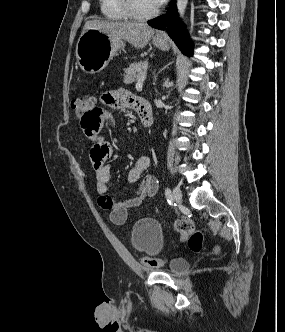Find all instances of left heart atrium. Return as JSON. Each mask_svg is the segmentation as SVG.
<instances>
[{
  "label": "left heart atrium",
  "mask_w": 285,
  "mask_h": 332,
  "mask_svg": "<svg viewBox=\"0 0 285 332\" xmlns=\"http://www.w3.org/2000/svg\"><path fill=\"white\" fill-rule=\"evenodd\" d=\"M156 7L161 6L166 0H152Z\"/></svg>",
  "instance_id": "1"
}]
</instances>
